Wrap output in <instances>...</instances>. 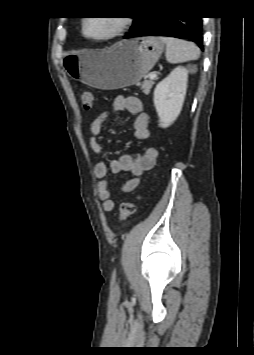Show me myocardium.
<instances>
[{"mask_svg": "<svg viewBox=\"0 0 254 355\" xmlns=\"http://www.w3.org/2000/svg\"><path fill=\"white\" fill-rule=\"evenodd\" d=\"M91 17H86L83 22H82V34L83 36L91 41L94 42H104L108 40H112L120 35H122L130 26L131 24V18L129 16H114V18L117 20V28L115 31H113L111 34L104 36V37H91L86 33V23Z\"/></svg>", "mask_w": 254, "mask_h": 355, "instance_id": "1", "label": "myocardium"}]
</instances>
